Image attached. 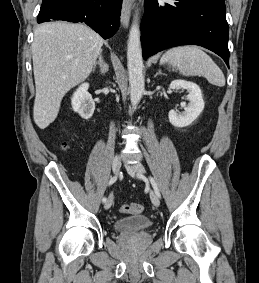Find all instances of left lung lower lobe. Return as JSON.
Wrapping results in <instances>:
<instances>
[{"label": "left lung lower lobe", "mask_w": 259, "mask_h": 283, "mask_svg": "<svg viewBox=\"0 0 259 283\" xmlns=\"http://www.w3.org/2000/svg\"><path fill=\"white\" fill-rule=\"evenodd\" d=\"M143 58L180 45L205 47L229 67L228 24L224 0H145L141 24Z\"/></svg>", "instance_id": "1"}]
</instances>
